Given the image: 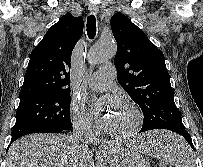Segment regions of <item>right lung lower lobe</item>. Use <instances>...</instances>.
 I'll use <instances>...</instances> for the list:
<instances>
[{
	"label": "right lung lower lobe",
	"mask_w": 203,
	"mask_h": 167,
	"mask_svg": "<svg viewBox=\"0 0 203 167\" xmlns=\"http://www.w3.org/2000/svg\"><path fill=\"white\" fill-rule=\"evenodd\" d=\"M67 130L65 129H50V130H46V131H43L41 133H61V132H65ZM16 139H11V143L14 142Z\"/></svg>",
	"instance_id": "1"
}]
</instances>
